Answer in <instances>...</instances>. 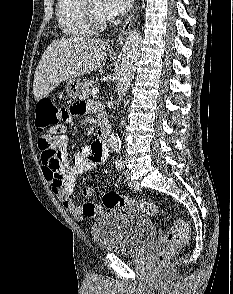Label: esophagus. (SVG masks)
<instances>
[{
  "mask_svg": "<svg viewBox=\"0 0 233 294\" xmlns=\"http://www.w3.org/2000/svg\"><path fill=\"white\" fill-rule=\"evenodd\" d=\"M138 4H139L138 0H136L135 5H134V7L132 9V12L128 16V18L126 19V21H125V23L123 25V28H122V30H121V32H120V34H119V36H118V38L116 40L117 45H121L125 41L128 33H129L130 29H131L133 21H134V19L136 17V14L138 12V8H139Z\"/></svg>",
  "mask_w": 233,
  "mask_h": 294,
  "instance_id": "obj_1",
  "label": "esophagus"
}]
</instances>
